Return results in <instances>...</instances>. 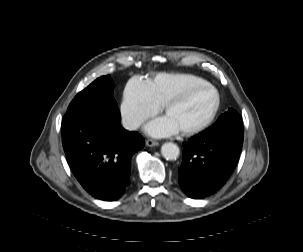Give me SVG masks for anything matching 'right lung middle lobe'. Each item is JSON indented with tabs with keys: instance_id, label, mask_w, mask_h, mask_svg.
<instances>
[{
	"instance_id": "right-lung-middle-lobe-1",
	"label": "right lung middle lobe",
	"mask_w": 303,
	"mask_h": 252,
	"mask_svg": "<svg viewBox=\"0 0 303 252\" xmlns=\"http://www.w3.org/2000/svg\"><path fill=\"white\" fill-rule=\"evenodd\" d=\"M113 84L109 75L102 76L92 82L87 88L77 94L70 103L67 113L76 111L85 106L101 102L117 104L112 97Z\"/></svg>"
}]
</instances>
